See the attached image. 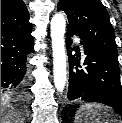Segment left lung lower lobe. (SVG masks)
I'll return each mask as SVG.
<instances>
[{
	"instance_id": "1",
	"label": "left lung lower lobe",
	"mask_w": 122,
	"mask_h": 123,
	"mask_svg": "<svg viewBox=\"0 0 122 123\" xmlns=\"http://www.w3.org/2000/svg\"><path fill=\"white\" fill-rule=\"evenodd\" d=\"M71 35H74V33L67 30V49L70 48L72 43ZM82 45L86 55L84 61L86 67L83 69L77 67L80 66L79 48L76 47V54L74 55L68 51V100L98 102L122 110V86L118 55L84 41H82Z\"/></svg>"
}]
</instances>
